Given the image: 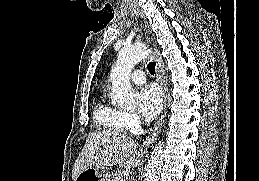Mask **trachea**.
<instances>
[{
    "label": "trachea",
    "mask_w": 259,
    "mask_h": 181,
    "mask_svg": "<svg viewBox=\"0 0 259 181\" xmlns=\"http://www.w3.org/2000/svg\"><path fill=\"white\" fill-rule=\"evenodd\" d=\"M148 71L150 74L154 75L155 74V62H150L147 66Z\"/></svg>",
    "instance_id": "1"
}]
</instances>
